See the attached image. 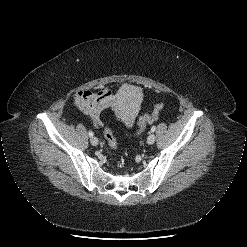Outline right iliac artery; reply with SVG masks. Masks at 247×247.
Returning <instances> with one entry per match:
<instances>
[{
  "mask_svg": "<svg viewBox=\"0 0 247 247\" xmlns=\"http://www.w3.org/2000/svg\"><path fill=\"white\" fill-rule=\"evenodd\" d=\"M88 134H89L90 137H93V135H94L93 132H92L91 130L89 131Z\"/></svg>",
  "mask_w": 247,
  "mask_h": 247,
  "instance_id": "obj_1",
  "label": "right iliac artery"
}]
</instances>
